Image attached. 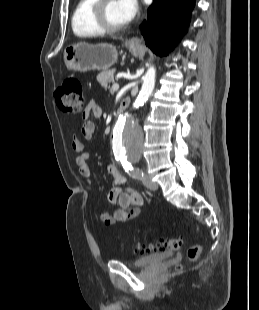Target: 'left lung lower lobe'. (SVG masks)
Masks as SVG:
<instances>
[{"mask_svg": "<svg viewBox=\"0 0 259 310\" xmlns=\"http://www.w3.org/2000/svg\"><path fill=\"white\" fill-rule=\"evenodd\" d=\"M194 5L195 0H154L141 29L146 45L155 54L167 55L178 43Z\"/></svg>", "mask_w": 259, "mask_h": 310, "instance_id": "obj_1", "label": "left lung lower lobe"}]
</instances>
